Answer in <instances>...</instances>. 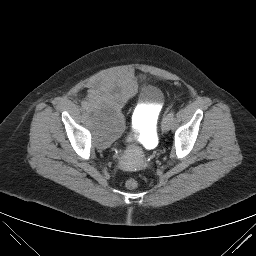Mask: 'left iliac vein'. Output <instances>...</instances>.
Instances as JSON below:
<instances>
[{
    "mask_svg": "<svg viewBox=\"0 0 256 256\" xmlns=\"http://www.w3.org/2000/svg\"><path fill=\"white\" fill-rule=\"evenodd\" d=\"M171 122L172 120L166 116L163 121H162V125H161V129L163 132H168L171 126Z\"/></svg>",
    "mask_w": 256,
    "mask_h": 256,
    "instance_id": "obj_1",
    "label": "left iliac vein"
}]
</instances>
